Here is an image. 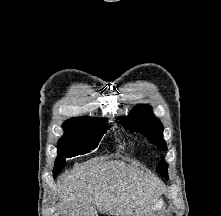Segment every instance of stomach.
<instances>
[{"mask_svg":"<svg viewBox=\"0 0 221 216\" xmlns=\"http://www.w3.org/2000/svg\"><path fill=\"white\" fill-rule=\"evenodd\" d=\"M165 203L163 201V199H157V201L154 203L152 209L153 211H160L164 208Z\"/></svg>","mask_w":221,"mask_h":216,"instance_id":"stomach-1","label":"stomach"}]
</instances>
